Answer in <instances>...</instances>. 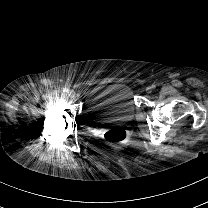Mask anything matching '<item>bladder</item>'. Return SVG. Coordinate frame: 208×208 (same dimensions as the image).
<instances>
[{
	"mask_svg": "<svg viewBox=\"0 0 208 208\" xmlns=\"http://www.w3.org/2000/svg\"><path fill=\"white\" fill-rule=\"evenodd\" d=\"M131 89L122 84L95 88L91 95L90 115L96 117H116L133 114Z\"/></svg>",
	"mask_w": 208,
	"mask_h": 208,
	"instance_id": "1",
	"label": "bladder"
}]
</instances>
